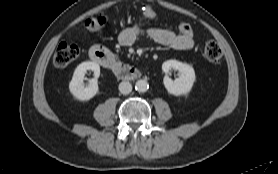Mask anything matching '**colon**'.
I'll return each mask as SVG.
<instances>
[{"label": "colon", "mask_w": 278, "mask_h": 174, "mask_svg": "<svg viewBox=\"0 0 278 174\" xmlns=\"http://www.w3.org/2000/svg\"><path fill=\"white\" fill-rule=\"evenodd\" d=\"M144 14L147 18H155V12L150 8H144ZM106 24V18L102 15L90 17L86 19L85 26L89 31L95 32L100 30ZM179 34L184 36H193L192 28L187 23H182L178 27ZM204 55L206 59L212 63L220 62L222 58V49L220 45L214 41H209L204 47ZM79 56V48L74 44L66 42L60 43L53 55V63L56 67H65Z\"/></svg>", "instance_id": "obj_1"}]
</instances>
